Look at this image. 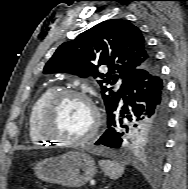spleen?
Listing matches in <instances>:
<instances>
[{"label": "spleen", "mask_w": 188, "mask_h": 189, "mask_svg": "<svg viewBox=\"0 0 188 189\" xmlns=\"http://www.w3.org/2000/svg\"><path fill=\"white\" fill-rule=\"evenodd\" d=\"M99 165L105 174L111 179H118L124 173L125 167L117 162L110 160H101Z\"/></svg>", "instance_id": "3e777b00"}]
</instances>
